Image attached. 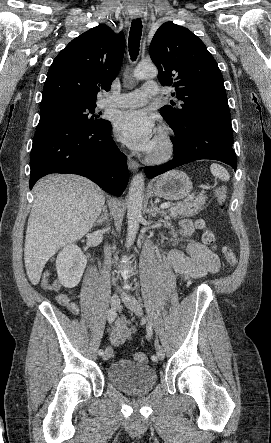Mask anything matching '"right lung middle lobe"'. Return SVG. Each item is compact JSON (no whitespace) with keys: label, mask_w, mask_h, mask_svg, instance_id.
I'll use <instances>...</instances> for the list:
<instances>
[{"label":"right lung middle lobe","mask_w":271,"mask_h":443,"mask_svg":"<svg viewBox=\"0 0 271 443\" xmlns=\"http://www.w3.org/2000/svg\"><path fill=\"white\" fill-rule=\"evenodd\" d=\"M96 103L76 99H56L41 103L38 126L52 121H67L88 128H96L105 123L98 119L95 112Z\"/></svg>","instance_id":"1"}]
</instances>
